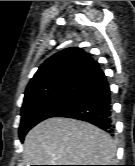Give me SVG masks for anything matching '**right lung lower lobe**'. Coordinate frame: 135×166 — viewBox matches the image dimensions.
Segmentation results:
<instances>
[{"mask_svg":"<svg viewBox=\"0 0 135 166\" xmlns=\"http://www.w3.org/2000/svg\"><path fill=\"white\" fill-rule=\"evenodd\" d=\"M72 98L66 109L56 117L73 118L114 132L111 91L100 68L69 85Z\"/></svg>","mask_w":135,"mask_h":166,"instance_id":"right-lung-lower-lobe-1","label":"right lung lower lobe"}]
</instances>
